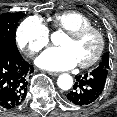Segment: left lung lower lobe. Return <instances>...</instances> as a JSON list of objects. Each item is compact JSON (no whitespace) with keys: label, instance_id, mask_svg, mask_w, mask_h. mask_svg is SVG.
I'll return each instance as SVG.
<instances>
[{"label":"left lung lower lobe","instance_id":"left-lung-lower-lobe-1","mask_svg":"<svg viewBox=\"0 0 117 117\" xmlns=\"http://www.w3.org/2000/svg\"><path fill=\"white\" fill-rule=\"evenodd\" d=\"M108 74L109 69L97 67L84 76H76L73 89L66 95L68 101L79 106L96 101L105 88Z\"/></svg>","mask_w":117,"mask_h":117}]
</instances>
